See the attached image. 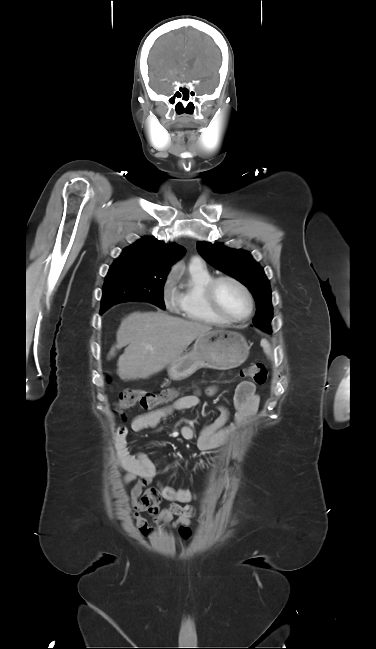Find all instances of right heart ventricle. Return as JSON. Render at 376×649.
I'll return each instance as SVG.
<instances>
[{
    "mask_svg": "<svg viewBox=\"0 0 376 649\" xmlns=\"http://www.w3.org/2000/svg\"><path fill=\"white\" fill-rule=\"evenodd\" d=\"M212 278L205 264L191 262L186 272L175 279L174 309L189 320L225 326L228 322L212 309L206 298V286Z\"/></svg>",
    "mask_w": 376,
    "mask_h": 649,
    "instance_id": "1",
    "label": "right heart ventricle"
}]
</instances>
